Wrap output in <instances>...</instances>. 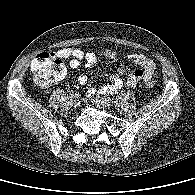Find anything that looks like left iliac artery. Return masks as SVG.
I'll list each match as a JSON object with an SVG mask.
<instances>
[{"mask_svg": "<svg viewBox=\"0 0 195 195\" xmlns=\"http://www.w3.org/2000/svg\"><path fill=\"white\" fill-rule=\"evenodd\" d=\"M108 103H111L112 102V99L111 98H107L105 99Z\"/></svg>", "mask_w": 195, "mask_h": 195, "instance_id": "left-iliac-artery-1", "label": "left iliac artery"}]
</instances>
